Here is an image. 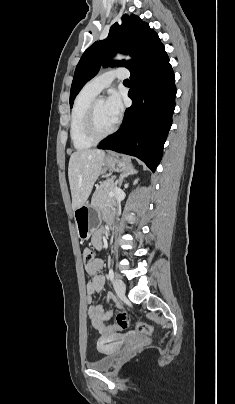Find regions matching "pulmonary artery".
<instances>
[{"mask_svg":"<svg viewBox=\"0 0 235 404\" xmlns=\"http://www.w3.org/2000/svg\"><path fill=\"white\" fill-rule=\"evenodd\" d=\"M129 77V71L126 68H118L111 71H107L99 76L91 79L84 86V90L94 95L99 94L102 90L107 88L115 78L127 79Z\"/></svg>","mask_w":235,"mask_h":404,"instance_id":"1","label":"pulmonary artery"}]
</instances>
